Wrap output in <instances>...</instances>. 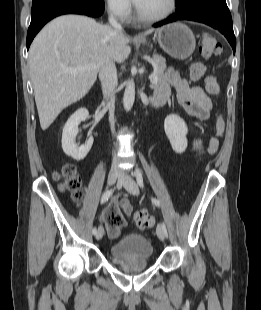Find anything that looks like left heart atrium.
Instances as JSON below:
<instances>
[{"mask_svg": "<svg viewBox=\"0 0 261 310\" xmlns=\"http://www.w3.org/2000/svg\"><path fill=\"white\" fill-rule=\"evenodd\" d=\"M141 0H133V2L138 5L140 3Z\"/></svg>", "mask_w": 261, "mask_h": 310, "instance_id": "39dd6f15", "label": "left heart atrium"}]
</instances>
